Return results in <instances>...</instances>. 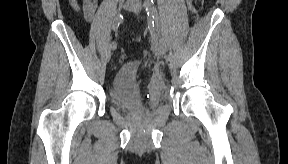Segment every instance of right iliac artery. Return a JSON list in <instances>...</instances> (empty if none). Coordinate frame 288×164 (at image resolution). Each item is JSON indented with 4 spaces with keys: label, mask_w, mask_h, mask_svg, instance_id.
Here are the masks:
<instances>
[{
    "label": "right iliac artery",
    "mask_w": 288,
    "mask_h": 164,
    "mask_svg": "<svg viewBox=\"0 0 288 164\" xmlns=\"http://www.w3.org/2000/svg\"><path fill=\"white\" fill-rule=\"evenodd\" d=\"M118 19L119 20L113 24V31L115 33V36H117L118 27H119V24H120L121 20L123 19V17L121 15H119ZM110 48L112 50H115L117 48L116 41H112V43L110 44Z\"/></svg>",
    "instance_id": "right-iliac-artery-1"
}]
</instances>
